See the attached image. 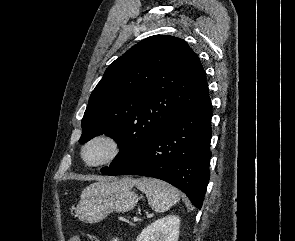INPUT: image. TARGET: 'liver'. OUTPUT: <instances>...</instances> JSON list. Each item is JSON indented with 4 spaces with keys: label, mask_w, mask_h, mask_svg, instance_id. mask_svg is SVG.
Instances as JSON below:
<instances>
[{
    "label": "liver",
    "mask_w": 295,
    "mask_h": 241,
    "mask_svg": "<svg viewBox=\"0 0 295 241\" xmlns=\"http://www.w3.org/2000/svg\"><path fill=\"white\" fill-rule=\"evenodd\" d=\"M126 182H127L128 184H131V185L134 184V181H133L132 179H130V178H127V179H126Z\"/></svg>",
    "instance_id": "1"
}]
</instances>
